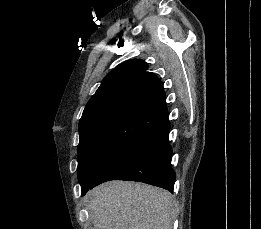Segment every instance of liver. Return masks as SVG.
I'll return each mask as SVG.
<instances>
[{
  "label": "liver",
  "mask_w": 261,
  "mask_h": 229,
  "mask_svg": "<svg viewBox=\"0 0 261 229\" xmlns=\"http://www.w3.org/2000/svg\"><path fill=\"white\" fill-rule=\"evenodd\" d=\"M94 229H172L176 215L169 191L126 181H109L89 193Z\"/></svg>",
  "instance_id": "6515ba94"
}]
</instances>
